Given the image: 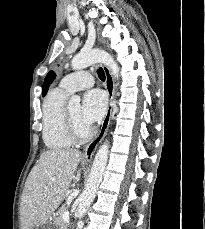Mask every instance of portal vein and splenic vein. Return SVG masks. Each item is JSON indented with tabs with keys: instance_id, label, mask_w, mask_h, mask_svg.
<instances>
[{
	"instance_id": "1",
	"label": "portal vein and splenic vein",
	"mask_w": 205,
	"mask_h": 229,
	"mask_svg": "<svg viewBox=\"0 0 205 229\" xmlns=\"http://www.w3.org/2000/svg\"><path fill=\"white\" fill-rule=\"evenodd\" d=\"M62 218H63L64 221H69V219H70V214H69V212H68V211H67V212H64V213L62 214Z\"/></svg>"
}]
</instances>
